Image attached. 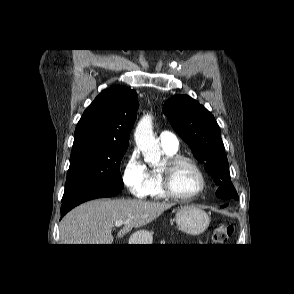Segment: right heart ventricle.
Here are the masks:
<instances>
[{
    "label": "right heart ventricle",
    "instance_id": "right-heart-ventricle-1",
    "mask_svg": "<svg viewBox=\"0 0 294 294\" xmlns=\"http://www.w3.org/2000/svg\"><path fill=\"white\" fill-rule=\"evenodd\" d=\"M164 153L166 154L167 157H172L177 155V150L175 151H170L165 148H163ZM161 175H160V170L159 169H153L150 171V184H149V189H148V195L151 198L154 199H167L168 196L164 193L162 186H161Z\"/></svg>",
    "mask_w": 294,
    "mask_h": 294
}]
</instances>
